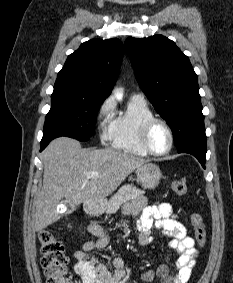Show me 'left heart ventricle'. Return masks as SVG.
<instances>
[{
    "mask_svg": "<svg viewBox=\"0 0 233 283\" xmlns=\"http://www.w3.org/2000/svg\"><path fill=\"white\" fill-rule=\"evenodd\" d=\"M148 140L151 148L157 152H163L169 146V134L160 123H156L151 128Z\"/></svg>",
    "mask_w": 233,
    "mask_h": 283,
    "instance_id": "b2bd125f",
    "label": "left heart ventricle"
}]
</instances>
